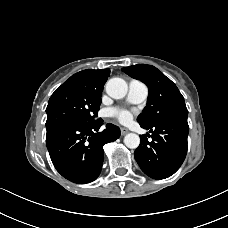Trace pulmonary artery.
Returning <instances> with one entry per match:
<instances>
[{"mask_svg": "<svg viewBox=\"0 0 228 228\" xmlns=\"http://www.w3.org/2000/svg\"><path fill=\"white\" fill-rule=\"evenodd\" d=\"M148 87L139 80H131L128 86L127 101L133 104H139L148 97Z\"/></svg>", "mask_w": 228, "mask_h": 228, "instance_id": "obj_1", "label": "pulmonary artery"}]
</instances>
